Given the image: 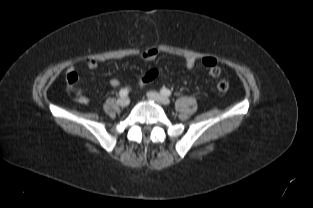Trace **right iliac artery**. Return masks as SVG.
I'll return each mask as SVG.
<instances>
[{
	"label": "right iliac artery",
	"instance_id": "1",
	"mask_svg": "<svg viewBox=\"0 0 313 208\" xmlns=\"http://www.w3.org/2000/svg\"><path fill=\"white\" fill-rule=\"evenodd\" d=\"M119 95H120L121 97H126V96L128 95V90H127V89H121V90L119 91Z\"/></svg>",
	"mask_w": 313,
	"mask_h": 208
}]
</instances>
